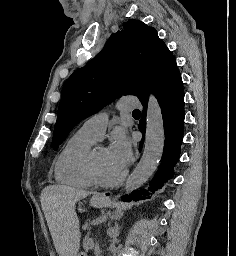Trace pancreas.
Returning a JSON list of instances; mask_svg holds the SVG:
<instances>
[{"instance_id": "obj_1", "label": "pancreas", "mask_w": 236, "mask_h": 256, "mask_svg": "<svg viewBox=\"0 0 236 256\" xmlns=\"http://www.w3.org/2000/svg\"><path fill=\"white\" fill-rule=\"evenodd\" d=\"M86 231H89V228H86ZM95 238H83V247H86V249H90V247L93 246V243H95Z\"/></svg>"}]
</instances>
